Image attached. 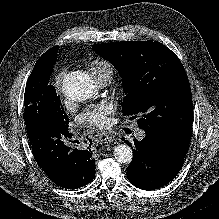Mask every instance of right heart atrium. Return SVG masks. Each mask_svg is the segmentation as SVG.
Instances as JSON below:
<instances>
[{"instance_id":"right-heart-atrium-1","label":"right heart atrium","mask_w":219,"mask_h":219,"mask_svg":"<svg viewBox=\"0 0 219 219\" xmlns=\"http://www.w3.org/2000/svg\"><path fill=\"white\" fill-rule=\"evenodd\" d=\"M64 76H65V71L64 70L59 71V73L57 74V76L55 78V86H56L57 89H60L61 83L64 79Z\"/></svg>"}]
</instances>
